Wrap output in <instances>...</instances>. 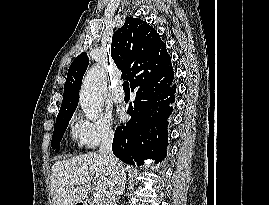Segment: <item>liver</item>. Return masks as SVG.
<instances>
[{
  "label": "liver",
  "mask_w": 269,
  "mask_h": 205,
  "mask_svg": "<svg viewBox=\"0 0 269 205\" xmlns=\"http://www.w3.org/2000/svg\"><path fill=\"white\" fill-rule=\"evenodd\" d=\"M93 176L95 178L93 187L90 183L79 186L72 184L75 179ZM111 178V171L105 159L96 152L58 160L52 166L50 178L53 205H75L82 202L87 198L91 187L105 198Z\"/></svg>",
  "instance_id": "liver-1"
}]
</instances>
